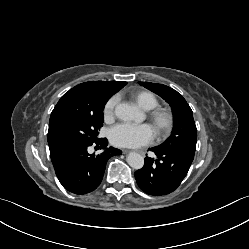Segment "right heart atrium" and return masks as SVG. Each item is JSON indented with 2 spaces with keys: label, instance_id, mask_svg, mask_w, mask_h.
I'll list each match as a JSON object with an SVG mask.
<instances>
[{
  "label": "right heart atrium",
  "instance_id": "right-heart-atrium-1",
  "mask_svg": "<svg viewBox=\"0 0 249 249\" xmlns=\"http://www.w3.org/2000/svg\"><path fill=\"white\" fill-rule=\"evenodd\" d=\"M117 101H118L117 97H112L105 104L103 112H104V117L106 119H111L113 117Z\"/></svg>",
  "mask_w": 249,
  "mask_h": 249
}]
</instances>
